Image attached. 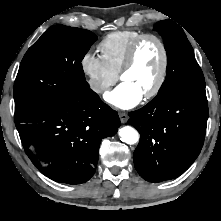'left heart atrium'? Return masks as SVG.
<instances>
[{
    "instance_id": "1",
    "label": "left heart atrium",
    "mask_w": 221,
    "mask_h": 221,
    "mask_svg": "<svg viewBox=\"0 0 221 221\" xmlns=\"http://www.w3.org/2000/svg\"><path fill=\"white\" fill-rule=\"evenodd\" d=\"M142 93L129 83L122 82L113 91L105 95V100L120 109L136 106L142 99Z\"/></svg>"
}]
</instances>
